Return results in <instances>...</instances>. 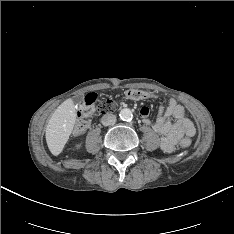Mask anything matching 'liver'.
Returning <instances> with one entry per match:
<instances>
[{
  "mask_svg": "<svg viewBox=\"0 0 234 234\" xmlns=\"http://www.w3.org/2000/svg\"><path fill=\"white\" fill-rule=\"evenodd\" d=\"M76 121V110L72 99L61 103L52 114L46 127V142L50 152L58 155L72 133Z\"/></svg>",
  "mask_w": 234,
  "mask_h": 234,
  "instance_id": "liver-1",
  "label": "liver"
}]
</instances>
